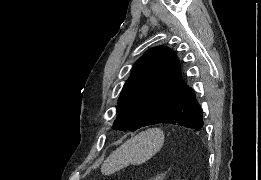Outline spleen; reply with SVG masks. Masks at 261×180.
Listing matches in <instances>:
<instances>
[{
	"mask_svg": "<svg viewBox=\"0 0 261 180\" xmlns=\"http://www.w3.org/2000/svg\"><path fill=\"white\" fill-rule=\"evenodd\" d=\"M164 144V132L160 128H149L145 132H140L131 140H127L120 148H117L105 166L101 168L102 174L109 176L118 170H123L126 166H140L148 162L157 152H160Z\"/></svg>",
	"mask_w": 261,
	"mask_h": 180,
	"instance_id": "obj_1",
	"label": "spleen"
}]
</instances>
